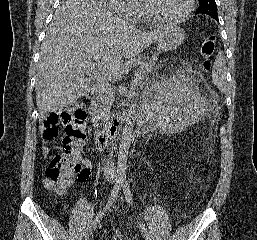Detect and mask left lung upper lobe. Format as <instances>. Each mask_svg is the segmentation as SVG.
I'll return each instance as SVG.
<instances>
[{"instance_id":"5c2ea615","label":"left lung upper lobe","mask_w":257,"mask_h":240,"mask_svg":"<svg viewBox=\"0 0 257 240\" xmlns=\"http://www.w3.org/2000/svg\"><path fill=\"white\" fill-rule=\"evenodd\" d=\"M199 8L196 13L206 14L218 21L217 6L215 0H199Z\"/></svg>"}]
</instances>
